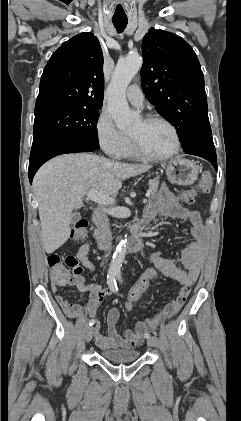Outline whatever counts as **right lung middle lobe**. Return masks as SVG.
Listing matches in <instances>:
<instances>
[{
  "label": "right lung middle lobe",
  "instance_id": "right-lung-middle-lobe-1",
  "mask_svg": "<svg viewBox=\"0 0 241 421\" xmlns=\"http://www.w3.org/2000/svg\"><path fill=\"white\" fill-rule=\"evenodd\" d=\"M101 107L53 105L35 109L32 149L56 142H82L99 148L96 125Z\"/></svg>",
  "mask_w": 241,
  "mask_h": 421
}]
</instances>
